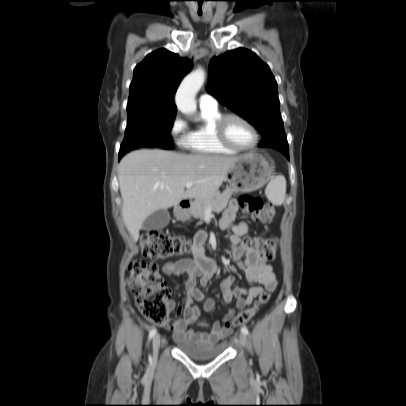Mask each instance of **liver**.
Instances as JSON below:
<instances>
[{
  "instance_id": "6515ba94",
  "label": "liver",
  "mask_w": 406,
  "mask_h": 406,
  "mask_svg": "<svg viewBox=\"0 0 406 406\" xmlns=\"http://www.w3.org/2000/svg\"><path fill=\"white\" fill-rule=\"evenodd\" d=\"M240 156L179 154L141 149L125 155L118 166L122 216L134 240L148 216L176 207L183 199L207 197L218 191ZM195 182L185 191L186 183Z\"/></svg>"
}]
</instances>
